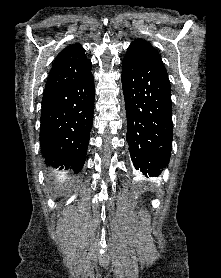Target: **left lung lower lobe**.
<instances>
[{"instance_id": "left-lung-lower-lobe-1", "label": "left lung lower lobe", "mask_w": 221, "mask_h": 278, "mask_svg": "<svg viewBox=\"0 0 221 278\" xmlns=\"http://www.w3.org/2000/svg\"><path fill=\"white\" fill-rule=\"evenodd\" d=\"M122 86L131 159L146 177L158 176L169 163L173 140L168 74L157 67L122 65Z\"/></svg>"}]
</instances>
